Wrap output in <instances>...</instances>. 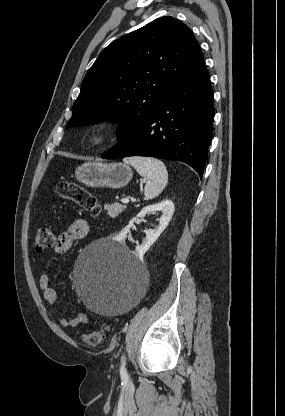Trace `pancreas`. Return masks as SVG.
<instances>
[{
  "mask_svg": "<svg viewBox=\"0 0 285 416\" xmlns=\"http://www.w3.org/2000/svg\"><path fill=\"white\" fill-rule=\"evenodd\" d=\"M126 206H121V204H105L104 210H107L108 216L110 218H116L119 214H122L123 210H125Z\"/></svg>",
  "mask_w": 285,
  "mask_h": 416,
  "instance_id": "obj_1",
  "label": "pancreas"
}]
</instances>
